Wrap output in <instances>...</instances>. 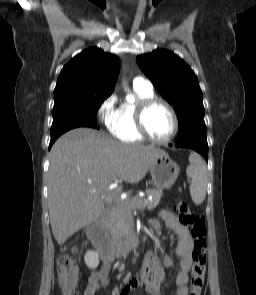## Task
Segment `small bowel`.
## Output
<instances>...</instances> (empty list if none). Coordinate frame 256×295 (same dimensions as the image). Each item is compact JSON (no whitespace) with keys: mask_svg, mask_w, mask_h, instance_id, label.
Here are the masks:
<instances>
[{"mask_svg":"<svg viewBox=\"0 0 256 295\" xmlns=\"http://www.w3.org/2000/svg\"><path fill=\"white\" fill-rule=\"evenodd\" d=\"M159 217L178 236L176 252L180 258V271L176 277L177 295H188V274L192 266L191 255L194 240L187 227L173 213L162 210L159 212ZM150 224L155 230L161 228L158 220H152ZM111 264L104 263L100 269L91 273L83 295H94L100 288L108 286ZM173 266L174 261L171 257L166 256L163 259L162 266L155 253L152 251L147 252L143 259L140 278L128 281L118 290L117 295H129L132 290L138 288H144L150 295H161L163 287L167 282L165 268Z\"/></svg>","mask_w":256,"mask_h":295,"instance_id":"1","label":"small bowel"}]
</instances>
